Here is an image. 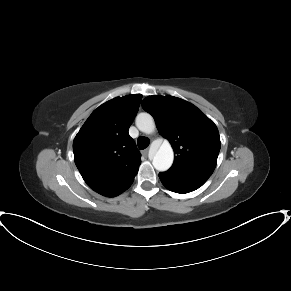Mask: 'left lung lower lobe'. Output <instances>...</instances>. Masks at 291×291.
Returning <instances> with one entry per match:
<instances>
[{"label": "left lung lower lobe", "mask_w": 291, "mask_h": 291, "mask_svg": "<svg viewBox=\"0 0 291 291\" xmlns=\"http://www.w3.org/2000/svg\"><path fill=\"white\" fill-rule=\"evenodd\" d=\"M159 178L167 189L181 194L194 191L205 183V181L181 178L166 172L159 173Z\"/></svg>", "instance_id": "0a47b994"}]
</instances>
